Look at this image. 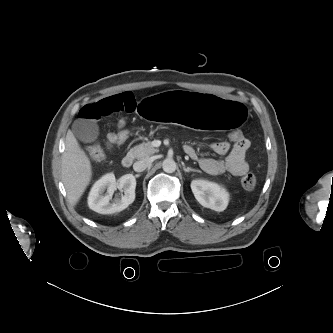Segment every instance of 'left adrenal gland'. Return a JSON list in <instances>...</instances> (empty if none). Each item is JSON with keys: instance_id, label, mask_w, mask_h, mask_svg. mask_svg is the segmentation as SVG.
Masks as SVG:
<instances>
[{"instance_id": "obj_1", "label": "left adrenal gland", "mask_w": 333, "mask_h": 333, "mask_svg": "<svg viewBox=\"0 0 333 333\" xmlns=\"http://www.w3.org/2000/svg\"><path fill=\"white\" fill-rule=\"evenodd\" d=\"M183 170L185 171V172H190V171H193V172H199V170H195V169H193V168H191V167H183Z\"/></svg>"}]
</instances>
